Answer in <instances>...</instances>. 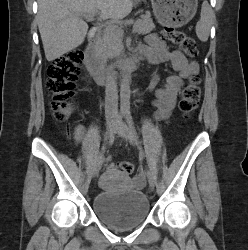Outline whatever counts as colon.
I'll list each match as a JSON object with an SVG mask.
<instances>
[{
  "label": "colon",
  "mask_w": 248,
  "mask_h": 250,
  "mask_svg": "<svg viewBox=\"0 0 248 250\" xmlns=\"http://www.w3.org/2000/svg\"><path fill=\"white\" fill-rule=\"evenodd\" d=\"M162 36L167 41L178 45L190 56L197 55V43L187 33L173 26H165ZM83 52L73 49L56 59L47 69V86L51 97L53 115L58 121H65L73 107L75 82L81 70ZM201 97L200 78L194 74L184 86L179 102V110L184 116L190 115L197 108ZM118 168L126 175H131L134 167L130 162L118 163Z\"/></svg>",
  "instance_id": "5ec220e1"
}]
</instances>
